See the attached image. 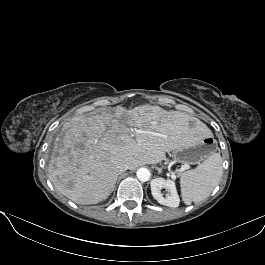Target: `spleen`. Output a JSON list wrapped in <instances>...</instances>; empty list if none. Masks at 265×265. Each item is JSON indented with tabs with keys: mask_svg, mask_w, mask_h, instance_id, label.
I'll list each match as a JSON object with an SVG mask.
<instances>
[{
	"mask_svg": "<svg viewBox=\"0 0 265 265\" xmlns=\"http://www.w3.org/2000/svg\"><path fill=\"white\" fill-rule=\"evenodd\" d=\"M223 174L222 158L212 153L195 169L181 174V197L186 205L206 199L219 183Z\"/></svg>",
	"mask_w": 265,
	"mask_h": 265,
	"instance_id": "spleen-1",
	"label": "spleen"
}]
</instances>
